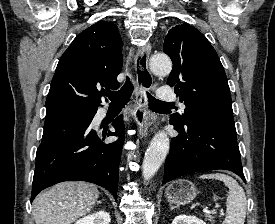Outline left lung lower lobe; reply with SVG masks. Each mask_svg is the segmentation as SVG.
<instances>
[{"label": "left lung lower lobe", "instance_id": "left-lung-lower-lobe-1", "mask_svg": "<svg viewBox=\"0 0 275 224\" xmlns=\"http://www.w3.org/2000/svg\"><path fill=\"white\" fill-rule=\"evenodd\" d=\"M179 135L172 138L163 183L183 175L225 169L243 175L235 125L199 118L185 125L170 120Z\"/></svg>", "mask_w": 275, "mask_h": 224}]
</instances>
